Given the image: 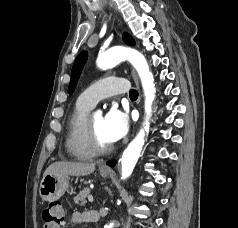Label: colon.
Here are the masks:
<instances>
[{
  "instance_id": "5ec220e1",
  "label": "colon",
  "mask_w": 238,
  "mask_h": 228,
  "mask_svg": "<svg viewBox=\"0 0 238 228\" xmlns=\"http://www.w3.org/2000/svg\"><path fill=\"white\" fill-rule=\"evenodd\" d=\"M64 212L59 201L50 203L42 211V221L46 224H60L63 221Z\"/></svg>"
}]
</instances>
